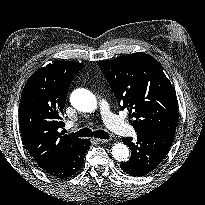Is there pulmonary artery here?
Masks as SVG:
<instances>
[{
	"label": "pulmonary artery",
	"mask_w": 205,
	"mask_h": 205,
	"mask_svg": "<svg viewBox=\"0 0 205 205\" xmlns=\"http://www.w3.org/2000/svg\"><path fill=\"white\" fill-rule=\"evenodd\" d=\"M99 107L105 124L113 132L121 135H127L131 132L132 128L112 113L106 101L101 100L99 103Z\"/></svg>",
	"instance_id": "e3ab8cb5"
}]
</instances>
